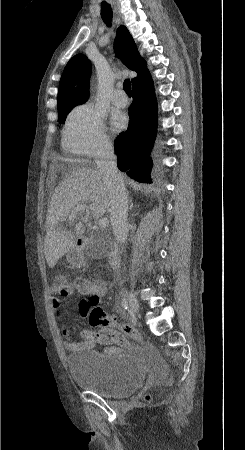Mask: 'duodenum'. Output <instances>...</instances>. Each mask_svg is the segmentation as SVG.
<instances>
[{
    "label": "duodenum",
    "instance_id": "410a0bca",
    "mask_svg": "<svg viewBox=\"0 0 245 450\" xmlns=\"http://www.w3.org/2000/svg\"><path fill=\"white\" fill-rule=\"evenodd\" d=\"M102 233L111 235V231L109 229L102 231ZM95 242V240L89 237H80L78 239L79 246L89 247ZM104 244L109 248V266L115 270L118 269L120 266V250L117 242L112 237H110L104 241ZM80 260L84 261V258L80 257Z\"/></svg>",
    "mask_w": 245,
    "mask_h": 450
}]
</instances>
